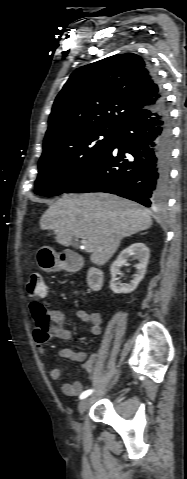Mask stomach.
I'll use <instances>...</instances> for the list:
<instances>
[{"instance_id":"1","label":"stomach","mask_w":187,"mask_h":479,"mask_svg":"<svg viewBox=\"0 0 187 479\" xmlns=\"http://www.w3.org/2000/svg\"><path fill=\"white\" fill-rule=\"evenodd\" d=\"M37 264L46 272H57L65 269V263L61 260L60 254L48 246H43L38 250Z\"/></svg>"}]
</instances>
